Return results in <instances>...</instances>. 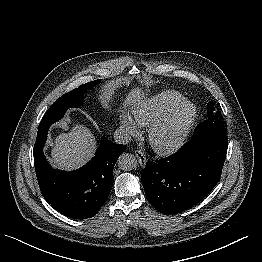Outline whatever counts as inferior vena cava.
<instances>
[{
    "mask_svg": "<svg viewBox=\"0 0 262 262\" xmlns=\"http://www.w3.org/2000/svg\"><path fill=\"white\" fill-rule=\"evenodd\" d=\"M114 140L118 144H128L131 142V136L123 129H116L114 132Z\"/></svg>",
    "mask_w": 262,
    "mask_h": 262,
    "instance_id": "obj_1",
    "label": "inferior vena cava"
}]
</instances>
